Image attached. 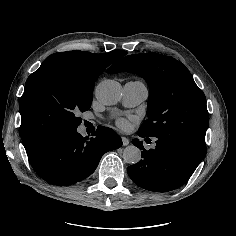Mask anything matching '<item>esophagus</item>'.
Instances as JSON below:
<instances>
[{
	"mask_svg": "<svg viewBox=\"0 0 236 236\" xmlns=\"http://www.w3.org/2000/svg\"><path fill=\"white\" fill-rule=\"evenodd\" d=\"M122 142H123V145L126 146V145L129 144L130 141H129V139L127 137L123 136L122 137Z\"/></svg>",
	"mask_w": 236,
	"mask_h": 236,
	"instance_id": "obj_1",
	"label": "esophagus"
}]
</instances>
